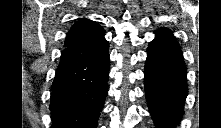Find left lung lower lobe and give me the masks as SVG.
<instances>
[{
    "label": "left lung lower lobe",
    "instance_id": "1",
    "mask_svg": "<svg viewBox=\"0 0 221 128\" xmlns=\"http://www.w3.org/2000/svg\"><path fill=\"white\" fill-rule=\"evenodd\" d=\"M147 49L145 95L158 128H173L183 115L187 96L186 66L181 48L169 29L155 32Z\"/></svg>",
    "mask_w": 221,
    "mask_h": 128
}]
</instances>
